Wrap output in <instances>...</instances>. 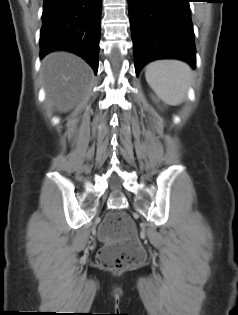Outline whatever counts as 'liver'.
<instances>
[{
  "instance_id": "6515ba94",
  "label": "liver",
  "mask_w": 238,
  "mask_h": 315,
  "mask_svg": "<svg viewBox=\"0 0 238 315\" xmlns=\"http://www.w3.org/2000/svg\"><path fill=\"white\" fill-rule=\"evenodd\" d=\"M41 74L48 102L66 112L85 95L93 72L80 57L53 52L42 60Z\"/></svg>"
}]
</instances>
